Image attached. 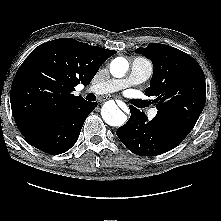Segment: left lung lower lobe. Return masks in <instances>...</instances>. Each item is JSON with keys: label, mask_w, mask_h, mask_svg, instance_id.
<instances>
[{"label": "left lung lower lobe", "mask_w": 221, "mask_h": 221, "mask_svg": "<svg viewBox=\"0 0 221 221\" xmlns=\"http://www.w3.org/2000/svg\"><path fill=\"white\" fill-rule=\"evenodd\" d=\"M131 116L118 128L117 136L134 154L140 156L160 155L175 148L183 141L174 130L159 117L148 120L144 112L130 106Z\"/></svg>", "instance_id": "obj_1"}]
</instances>
